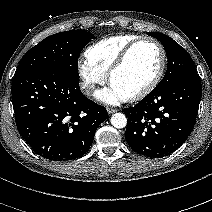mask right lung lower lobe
Returning <instances> with one entry per match:
<instances>
[{
	"label": "right lung lower lobe",
	"instance_id": "1",
	"mask_svg": "<svg viewBox=\"0 0 212 212\" xmlns=\"http://www.w3.org/2000/svg\"><path fill=\"white\" fill-rule=\"evenodd\" d=\"M12 102L23 139L35 153L54 161L84 155L108 116L103 106L82 94L79 80L52 69L16 75Z\"/></svg>",
	"mask_w": 212,
	"mask_h": 212
}]
</instances>
